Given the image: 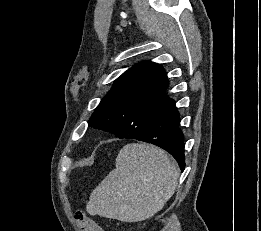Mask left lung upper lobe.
<instances>
[{
	"instance_id": "1",
	"label": "left lung upper lobe",
	"mask_w": 261,
	"mask_h": 231,
	"mask_svg": "<svg viewBox=\"0 0 261 231\" xmlns=\"http://www.w3.org/2000/svg\"><path fill=\"white\" fill-rule=\"evenodd\" d=\"M165 70L145 61L124 72L101 100L88 125L119 138L139 136L173 99L166 95Z\"/></svg>"
}]
</instances>
